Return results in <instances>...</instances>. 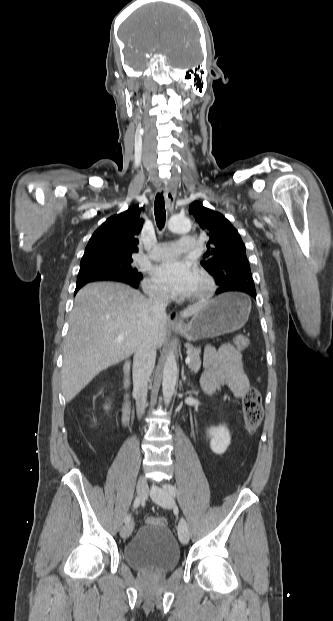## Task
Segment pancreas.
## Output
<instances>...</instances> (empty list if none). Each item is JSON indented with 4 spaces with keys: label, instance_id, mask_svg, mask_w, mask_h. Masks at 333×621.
Wrapping results in <instances>:
<instances>
[{
    "label": "pancreas",
    "instance_id": "1",
    "mask_svg": "<svg viewBox=\"0 0 333 621\" xmlns=\"http://www.w3.org/2000/svg\"><path fill=\"white\" fill-rule=\"evenodd\" d=\"M185 347L187 348V356H189L191 358V362L189 363V369H191L194 372H197L200 369L201 366V360H200V348L199 347H193L190 344H185Z\"/></svg>",
    "mask_w": 333,
    "mask_h": 621
}]
</instances>
